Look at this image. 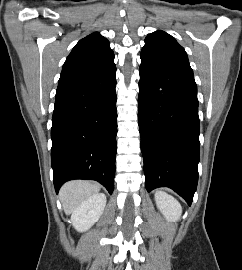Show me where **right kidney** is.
I'll return each mask as SVG.
<instances>
[{"instance_id": "1", "label": "right kidney", "mask_w": 242, "mask_h": 270, "mask_svg": "<svg viewBox=\"0 0 242 270\" xmlns=\"http://www.w3.org/2000/svg\"><path fill=\"white\" fill-rule=\"evenodd\" d=\"M106 205V196L101 193L90 196L72 213L73 227L83 232L88 230L102 215Z\"/></svg>"}]
</instances>
